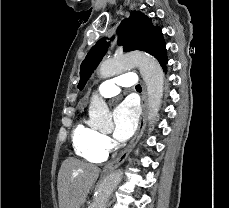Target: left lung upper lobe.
<instances>
[{"label": "left lung upper lobe", "mask_w": 229, "mask_h": 208, "mask_svg": "<svg viewBox=\"0 0 229 208\" xmlns=\"http://www.w3.org/2000/svg\"><path fill=\"white\" fill-rule=\"evenodd\" d=\"M117 33L118 44L124 46L125 52L141 50L153 55L159 63L167 60L166 44L161 28L154 26L152 20L142 12H131L130 17L121 22ZM105 39H100L91 48L80 66V82L77 86L80 90L84 88L91 73L107 52L109 44Z\"/></svg>", "instance_id": "left-lung-upper-lobe-1"}]
</instances>
